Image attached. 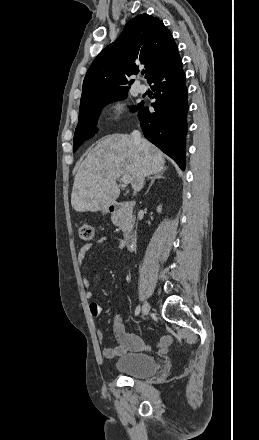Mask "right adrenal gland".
Instances as JSON below:
<instances>
[{
	"mask_svg": "<svg viewBox=\"0 0 259 440\" xmlns=\"http://www.w3.org/2000/svg\"><path fill=\"white\" fill-rule=\"evenodd\" d=\"M164 178H165V177H164V171H161V172L155 174V175L152 177L151 183H150V185H149V187H148V189H147V191H146L145 194H147V193L149 192V190L151 189V187H152V185H153V183H154V181H155L156 179H164Z\"/></svg>",
	"mask_w": 259,
	"mask_h": 440,
	"instance_id": "1",
	"label": "right adrenal gland"
}]
</instances>
